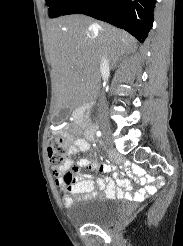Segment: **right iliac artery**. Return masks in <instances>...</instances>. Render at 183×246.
Wrapping results in <instances>:
<instances>
[{"instance_id": "82829eb1", "label": "right iliac artery", "mask_w": 183, "mask_h": 246, "mask_svg": "<svg viewBox=\"0 0 183 246\" xmlns=\"http://www.w3.org/2000/svg\"><path fill=\"white\" fill-rule=\"evenodd\" d=\"M96 134H97L98 137L101 136V132L100 131H97Z\"/></svg>"}]
</instances>
